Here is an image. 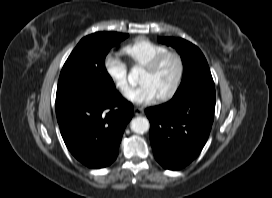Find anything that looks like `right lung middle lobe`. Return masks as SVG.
<instances>
[{
	"label": "right lung middle lobe",
	"instance_id": "obj_1",
	"mask_svg": "<svg viewBox=\"0 0 272 198\" xmlns=\"http://www.w3.org/2000/svg\"><path fill=\"white\" fill-rule=\"evenodd\" d=\"M128 37L117 32H97L84 37L65 62L58 82L56 101L81 94L106 95L115 90L105 69L110 48Z\"/></svg>",
	"mask_w": 272,
	"mask_h": 198
}]
</instances>
